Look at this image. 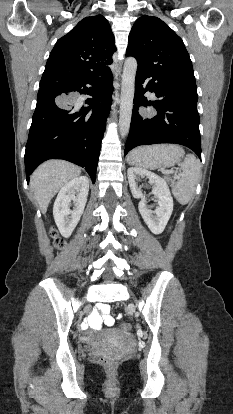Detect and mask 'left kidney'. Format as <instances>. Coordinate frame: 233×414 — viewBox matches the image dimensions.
Returning <instances> with one entry per match:
<instances>
[{"label":"left kidney","mask_w":233,"mask_h":414,"mask_svg":"<svg viewBox=\"0 0 233 414\" xmlns=\"http://www.w3.org/2000/svg\"><path fill=\"white\" fill-rule=\"evenodd\" d=\"M127 176L133 197L141 199L138 208L143 220L153 234H161L173 211V199L166 181L158 175L138 167H130L127 170ZM140 176L147 177L149 183L154 185L152 194L158 203L154 211L146 205V197L138 187L136 180Z\"/></svg>","instance_id":"5707ae66"}]
</instances>
